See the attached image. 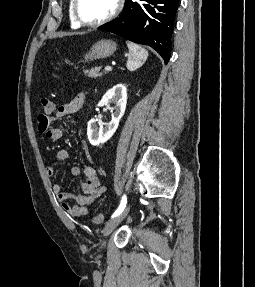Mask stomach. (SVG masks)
Segmentation results:
<instances>
[{
  "label": "stomach",
  "instance_id": "stomach-1",
  "mask_svg": "<svg viewBox=\"0 0 255 287\" xmlns=\"http://www.w3.org/2000/svg\"><path fill=\"white\" fill-rule=\"evenodd\" d=\"M117 48V44L112 42V40H99L96 44H93L89 52L85 54V62H90V60H100V58H109L114 54Z\"/></svg>",
  "mask_w": 255,
  "mask_h": 287
}]
</instances>
